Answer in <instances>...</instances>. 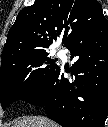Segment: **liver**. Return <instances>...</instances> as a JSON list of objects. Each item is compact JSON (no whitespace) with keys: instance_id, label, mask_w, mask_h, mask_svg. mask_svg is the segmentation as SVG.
<instances>
[{"instance_id":"6515ba94","label":"liver","mask_w":108,"mask_h":127,"mask_svg":"<svg viewBox=\"0 0 108 127\" xmlns=\"http://www.w3.org/2000/svg\"><path fill=\"white\" fill-rule=\"evenodd\" d=\"M13 127H59L56 123L43 116H27L14 124Z\"/></svg>"}]
</instances>
